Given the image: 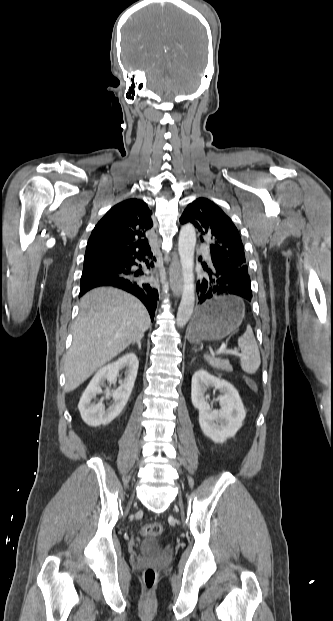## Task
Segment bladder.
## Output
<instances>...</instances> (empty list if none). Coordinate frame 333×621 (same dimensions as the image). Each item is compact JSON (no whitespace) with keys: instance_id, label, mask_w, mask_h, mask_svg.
Listing matches in <instances>:
<instances>
[{"instance_id":"1","label":"bladder","mask_w":333,"mask_h":621,"mask_svg":"<svg viewBox=\"0 0 333 621\" xmlns=\"http://www.w3.org/2000/svg\"><path fill=\"white\" fill-rule=\"evenodd\" d=\"M141 550L143 553H151L154 550V542L150 540L144 541Z\"/></svg>"}]
</instances>
